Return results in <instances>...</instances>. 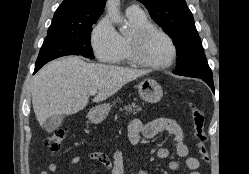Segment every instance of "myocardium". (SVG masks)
Masks as SVG:
<instances>
[{"label":"myocardium","mask_w":249,"mask_h":174,"mask_svg":"<svg viewBox=\"0 0 249 174\" xmlns=\"http://www.w3.org/2000/svg\"><path fill=\"white\" fill-rule=\"evenodd\" d=\"M153 34H160L163 37H165L172 47V57L166 63H161V64L153 63L148 61L143 56V49L145 43L147 39ZM128 52L132 62H134L137 65L150 69H165L170 67L175 62L178 50L175 41L166 31H164L159 27L148 25L131 34L128 41Z\"/></svg>","instance_id":"myocardium-1"}]
</instances>
